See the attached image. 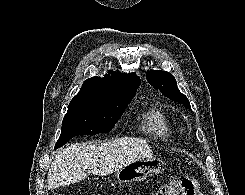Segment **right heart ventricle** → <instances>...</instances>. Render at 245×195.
<instances>
[{"mask_svg":"<svg viewBox=\"0 0 245 195\" xmlns=\"http://www.w3.org/2000/svg\"><path fill=\"white\" fill-rule=\"evenodd\" d=\"M140 127L143 134L161 139L167 138L171 131L168 116L157 107H152L142 114Z\"/></svg>","mask_w":245,"mask_h":195,"instance_id":"e07e8e85","label":"right heart ventricle"}]
</instances>
